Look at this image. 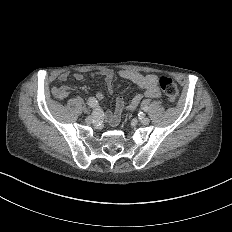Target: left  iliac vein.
<instances>
[{"label":"left iliac vein","mask_w":232,"mask_h":232,"mask_svg":"<svg viewBox=\"0 0 232 232\" xmlns=\"http://www.w3.org/2000/svg\"><path fill=\"white\" fill-rule=\"evenodd\" d=\"M141 124H142L143 126L149 125V124H150V119H149V118H144V119L141 121Z\"/></svg>","instance_id":"obj_1"}]
</instances>
